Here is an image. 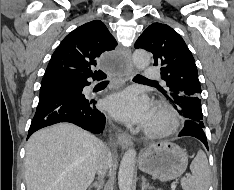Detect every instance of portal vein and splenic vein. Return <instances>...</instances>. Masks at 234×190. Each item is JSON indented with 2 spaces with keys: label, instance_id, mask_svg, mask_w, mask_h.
<instances>
[{
  "label": "portal vein and splenic vein",
  "instance_id": "18ae733b",
  "mask_svg": "<svg viewBox=\"0 0 234 190\" xmlns=\"http://www.w3.org/2000/svg\"><path fill=\"white\" fill-rule=\"evenodd\" d=\"M172 189L174 190V189H175V186H172Z\"/></svg>",
  "mask_w": 234,
  "mask_h": 190
}]
</instances>
